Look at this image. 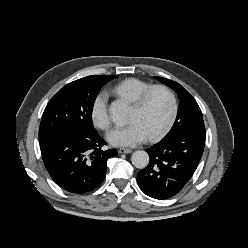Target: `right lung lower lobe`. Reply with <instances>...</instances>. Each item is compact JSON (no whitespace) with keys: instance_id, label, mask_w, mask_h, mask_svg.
<instances>
[{"instance_id":"obj_1","label":"right lung lower lobe","mask_w":248,"mask_h":248,"mask_svg":"<svg viewBox=\"0 0 248 248\" xmlns=\"http://www.w3.org/2000/svg\"><path fill=\"white\" fill-rule=\"evenodd\" d=\"M106 142L97 132L62 130L40 142L45 167L62 189L76 194L90 192L105 178L107 160L116 149L102 150Z\"/></svg>"}]
</instances>
